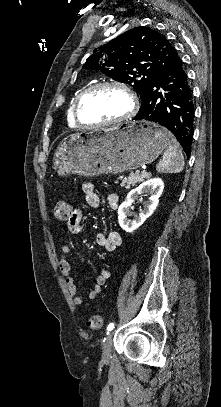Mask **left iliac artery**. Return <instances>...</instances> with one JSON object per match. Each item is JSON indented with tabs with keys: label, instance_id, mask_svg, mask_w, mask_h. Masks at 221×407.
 Here are the masks:
<instances>
[{
	"label": "left iliac artery",
	"instance_id": "left-iliac-artery-1",
	"mask_svg": "<svg viewBox=\"0 0 221 407\" xmlns=\"http://www.w3.org/2000/svg\"><path fill=\"white\" fill-rule=\"evenodd\" d=\"M114 328V323H110L107 327V334Z\"/></svg>",
	"mask_w": 221,
	"mask_h": 407
}]
</instances>
